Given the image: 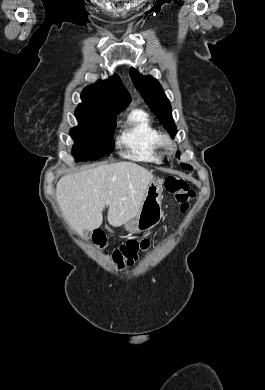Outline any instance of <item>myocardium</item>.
I'll return each instance as SVG.
<instances>
[{
    "label": "myocardium",
    "instance_id": "obj_1",
    "mask_svg": "<svg viewBox=\"0 0 265 390\" xmlns=\"http://www.w3.org/2000/svg\"><path fill=\"white\" fill-rule=\"evenodd\" d=\"M160 146L163 148L165 153L172 154L174 151V144L168 136L160 137Z\"/></svg>",
    "mask_w": 265,
    "mask_h": 390
}]
</instances>
